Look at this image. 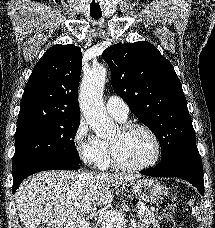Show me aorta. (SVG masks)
Listing matches in <instances>:
<instances>
[{
    "label": "aorta",
    "instance_id": "762f6f07",
    "mask_svg": "<svg viewBox=\"0 0 215 228\" xmlns=\"http://www.w3.org/2000/svg\"><path fill=\"white\" fill-rule=\"evenodd\" d=\"M106 74L104 66L93 68L88 76H84L79 94L80 110L97 136H105L114 128L101 100Z\"/></svg>",
    "mask_w": 215,
    "mask_h": 228
}]
</instances>
